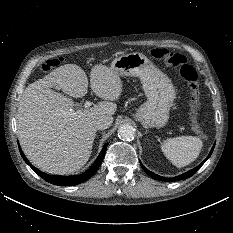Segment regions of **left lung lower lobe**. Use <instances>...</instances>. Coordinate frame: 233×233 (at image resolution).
Segmentation results:
<instances>
[{"instance_id":"1","label":"left lung lower lobe","mask_w":233,"mask_h":233,"mask_svg":"<svg viewBox=\"0 0 233 233\" xmlns=\"http://www.w3.org/2000/svg\"><path fill=\"white\" fill-rule=\"evenodd\" d=\"M214 146L215 144L213 145L209 155L207 156V158L200 164L198 165L197 167H195L194 169L182 174V175H179V176H176L174 178H164V177H161L159 175H156L155 173L149 171L147 168H145L143 166V164L140 162L143 170L151 177H153L154 179H157V180H160V181H166V182H174V181H178V180H181V179H186V178H189L190 176H192L194 173L197 172L198 169H200V167L206 162V160L211 156L212 152H213V149H214Z\"/></svg>"}]
</instances>
